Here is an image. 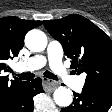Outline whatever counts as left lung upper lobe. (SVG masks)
<instances>
[{
	"instance_id": "left-lung-upper-lobe-1",
	"label": "left lung upper lobe",
	"mask_w": 112,
	"mask_h": 112,
	"mask_svg": "<svg viewBox=\"0 0 112 112\" xmlns=\"http://www.w3.org/2000/svg\"><path fill=\"white\" fill-rule=\"evenodd\" d=\"M58 40L71 68L87 74L84 88L112 93V40L95 24L77 14L43 22Z\"/></svg>"
}]
</instances>
